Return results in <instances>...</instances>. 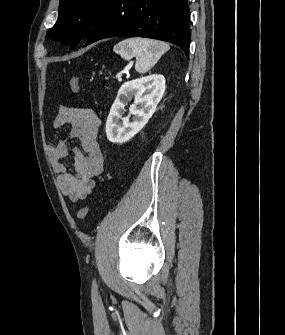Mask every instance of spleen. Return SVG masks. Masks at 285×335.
<instances>
[{
  "mask_svg": "<svg viewBox=\"0 0 285 335\" xmlns=\"http://www.w3.org/2000/svg\"><path fill=\"white\" fill-rule=\"evenodd\" d=\"M168 50H170L168 44L158 42V40H148V38H128L113 48V52L119 54L124 60L137 58L135 70L139 74H144L153 68Z\"/></svg>",
  "mask_w": 285,
  "mask_h": 335,
  "instance_id": "obj_1",
  "label": "spleen"
}]
</instances>
